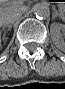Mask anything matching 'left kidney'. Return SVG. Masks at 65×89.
Here are the masks:
<instances>
[{
  "mask_svg": "<svg viewBox=\"0 0 65 89\" xmlns=\"http://www.w3.org/2000/svg\"><path fill=\"white\" fill-rule=\"evenodd\" d=\"M58 28L60 32L58 34H53L52 39L56 47L61 51H64L65 50V35H64L65 26L62 24H58Z\"/></svg>",
  "mask_w": 65,
  "mask_h": 89,
  "instance_id": "5707ae66",
  "label": "left kidney"
}]
</instances>
